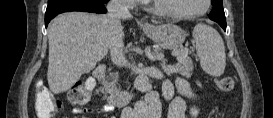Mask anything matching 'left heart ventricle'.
<instances>
[{
    "label": "left heart ventricle",
    "instance_id": "obj_1",
    "mask_svg": "<svg viewBox=\"0 0 273 118\" xmlns=\"http://www.w3.org/2000/svg\"><path fill=\"white\" fill-rule=\"evenodd\" d=\"M164 8L179 13H192L204 8V0H162Z\"/></svg>",
    "mask_w": 273,
    "mask_h": 118
}]
</instances>
